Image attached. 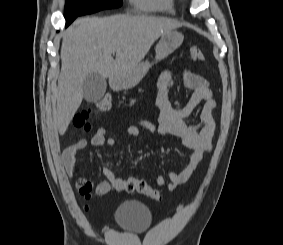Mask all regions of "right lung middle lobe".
Returning a JSON list of instances; mask_svg holds the SVG:
<instances>
[{
  "label": "right lung middle lobe",
  "instance_id": "1",
  "mask_svg": "<svg viewBox=\"0 0 283 245\" xmlns=\"http://www.w3.org/2000/svg\"><path fill=\"white\" fill-rule=\"evenodd\" d=\"M122 0H67L64 17L68 26L76 17L103 9L118 8Z\"/></svg>",
  "mask_w": 283,
  "mask_h": 245
}]
</instances>
